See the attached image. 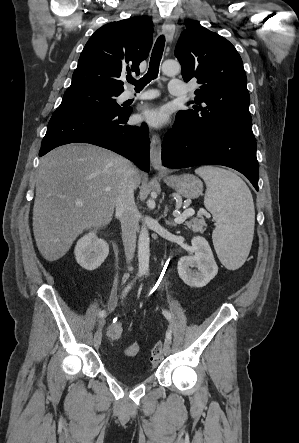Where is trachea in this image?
<instances>
[{"mask_svg": "<svg viewBox=\"0 0 299 443\" xmlns=\"http://www.w3.org/2000/svg\"><path fill=\"white\" fill-rule=\"evenodd\" d=\"M164 46H165V36L161 35L156 40V43L152 50L147 73L138 81L133 79L132 77L127 79L129 83H132L135 86L136 91H141L151 80L157 78L159 72V64L162 59L164 51Z\"/></svg>", "mask_w": 299, "mask_h": 443, "instance_id": "trachea-1", "label": "trachea"}]
</instances>
